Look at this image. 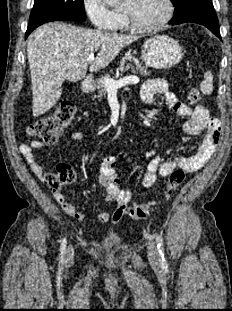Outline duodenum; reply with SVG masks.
<instances>
[{
    "label": "duodenum",
    "mask_w": 232,
    "mask_h": 311,
    "mask_svg": "<svg viewBox=\"0 0 232 311\" xmlns=\"http://www.w3.org/2000/svg\"><path fill=\"white\" fill-rule=\"evenodd\" d=\"M91 84H92V80L91 78L87 77V78H84L82 81H81V90L83 93H86L90 90V87H91Z\"/></svg>",
    "instance_id": "410a0bca"
}]
</instances>
